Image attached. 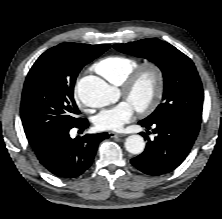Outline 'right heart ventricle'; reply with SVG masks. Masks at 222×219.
Returning <instances> with one entry per match:
<instances>
[{
  "mask_svg": "<svg viewBox=\"0 0 222 219\" xmlns=\"http://www.w3.org/2000/svg\"><path fill=\"white\" fill-rule=\"evenodd\" d=\"M138 65L134 58L111 55L94 64V70L114 85H121L126 76Z\"/></svg>",
  "mask_w": 222,
  "mask_h": 219,
  "instance_id": "right-heart-ventricle-1",
  "label": "right heart ventricle"
}]
</instances>
